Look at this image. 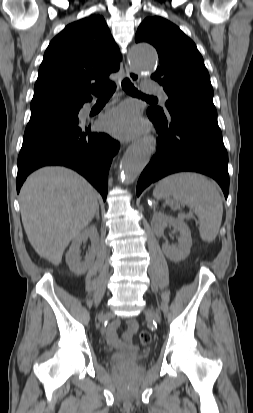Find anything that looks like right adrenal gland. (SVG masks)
Returning <instances> with one entry per match:
<instances>
[{"mask_svg": "<svg viewBox=\"0 0 253 413\" xmlns=\"http://www.w3.org/2000/svg\"><path fill=\"white\" fill-rule=\"evenodd\" d=\"M96 219L99 220V207L97 208V212H96Z\"/></svg>", "mask_w": 253, "mask_h": 413, "instance_id": "right-adrenal-gland-1", "label": "right adrenal gland"}]
</instances>
